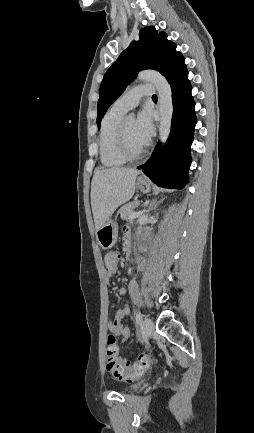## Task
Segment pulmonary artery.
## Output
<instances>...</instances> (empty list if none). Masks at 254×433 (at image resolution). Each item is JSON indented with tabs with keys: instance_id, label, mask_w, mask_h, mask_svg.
<instances>
[{
	"instance_id": "1",
	"label": "pulmonary artery",
	"mask_w": 254,
	"mask_h": 433,
	"mask_svg": "<svg viewBox=\"0 0 254 433\" xmlns=\"http://www.w3.org/2000/svg\"><path fill=\"white\" fill-rule=\"evenodd\" d=\"M154 91V86L151 84H143L133 87L121 96L113 105L112 110L126 113L131 109L135 108L141 98L145 95H151Z\"/></svg>"
}]
</instances>
